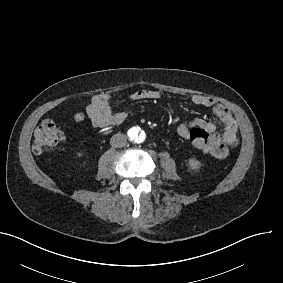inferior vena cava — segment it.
Segmentation results:
<instances>
[{
	"instance_id": "1",
	"label": "inferior vena cava",
	"mask_w": 283,
	"mask_h": 283,
	"mask_svg": "<svg viewBox=\"0 0 283 283\" xmlns=\"http://www.w3.org/2000/svg\"><path fill=\"white\" fill-rule=\"evenodd\" d=\"M110 144L115 148L125 147L127 144V137L122 133L114 134L110 139Z\"/></svg>"
}]
</instances>
